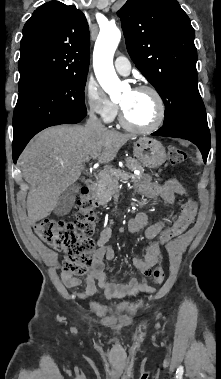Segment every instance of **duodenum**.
<instances>
[{
  "instance_id": "1",
  "label": "duodenum",
  "mask_w": 221,
  "mask_h": 379,
  "mask_svg": "<svg viewBox=\"0 0 221 379\" xmlns=\"http://www.w3.org/2000/svg\"><path fill=\"white\" fill-rule=\"evenodd\" d=\"M83 191L88 197L92 198L93 197V183L89 180L85 181L83 184Z\"/></svg>"
}]
</instances>
